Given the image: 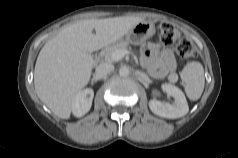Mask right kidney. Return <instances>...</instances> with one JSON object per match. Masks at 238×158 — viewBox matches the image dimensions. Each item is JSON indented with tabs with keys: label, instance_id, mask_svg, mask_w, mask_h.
<instances>
[{
	"label": "right kidney",
	"instance_id": "ca27d5eb",
	"mask_svg": "<svg viewBox=\"0 0 238 158\" xmlns=\"http://www.w3.org/2000/svg\"><path fill=\"white\" fill-rule=\"evenodd\" d=\"M94 92L91 88L84 89L77 94L75 102L72 105L74 116L81 117L91 108Z\"/></svg>",
	"mask_w": 238,
	"mask_h": 158
}]
</instances>
